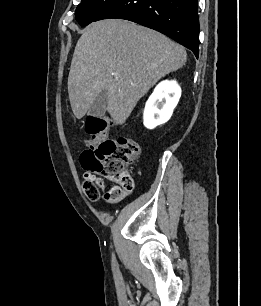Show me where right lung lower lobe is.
<instances>
[{
	"mask_svg": "<svg viewBox=\"0 0 261 306\" xmlns=\"http://www.w3.org/2000/svg\"><path fill=\"white\" fill-rule=\"evenodd\" d=\"M118 18L159 31L198 58V0H115L94 21Z\"/></svg>",
	"mask_w": 261,
	"mask_h": 306,
	"instance_id": "1",
	"label": "right lung lower lobe"
}]
</instances>
